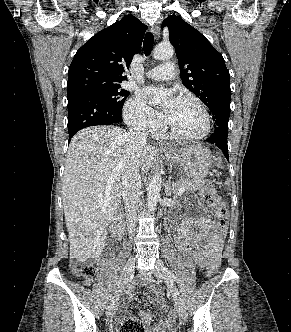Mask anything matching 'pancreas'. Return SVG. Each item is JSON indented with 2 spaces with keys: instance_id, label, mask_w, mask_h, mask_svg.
Instances as JSON below:
<instances>
[{
  "instance_id": "cf45deb5",
  "label": "pancreas",
  "mask_w": 291,
  "mask_h": 332,
  "mask_svg": "<svg viewBox=\"0 0 291 332\" xmlns=\"http://www.w3.org/2000/svg\"><path fill=\"white\" fill-rule=\"evenodd\" d=\"M205 184L203 179H187L182 178L178 182L173 184L172 191L174 194H178V190L181 186L185 187L186 192H195L200 190Z\"/></svg>"
}]
</instances>
